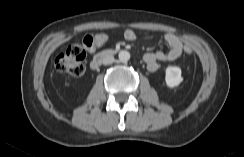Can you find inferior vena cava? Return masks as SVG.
Returning <instances> with one entry per match:
<instances>
[{
	"mask_svg": "<svg viewBox=\"0 0 244 157\" xmlns=\"http://www.w3.org/2000/svg\"><path fill=\"white\" fill-rule=\"evenodd\" d=\"M114 61H115V59H114L113 55H105L102 59V63L104 65L112 64Z\"/></svg>",
	"mask_w": 244,
	"mask_h": 157,
	"instance_id": "602c4592",
	"label": "inferior vena cava"
}]
</instances>
